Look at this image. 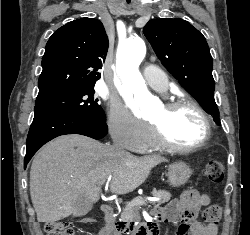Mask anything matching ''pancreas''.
Returning <instances> with one entry per match:
<instances>
[{"label":"pancreas","instance_id":"1","mask_svg":"<svg viewBox=\"0 0 250 235\" xmlns=\"http://www.w3.org/2000/svg\"><path fill=\"white\" fill-rule=\"evenodd\" d=\"M152 196L158 197L159 201L156 203H153L156 207L160 206L163 203H166L170 200L171 194L165 190H153L151 192ZM141 201H145L141 197H136L134 200H132L131 203H129L121 213V218L125 222H136L140 221V213L139 210L141 206L145 203H142Z\"/></svg>","mask_w":250,"mask_h":235}]
</instances>
